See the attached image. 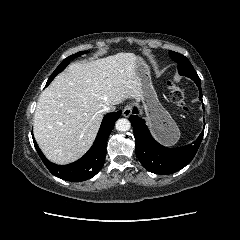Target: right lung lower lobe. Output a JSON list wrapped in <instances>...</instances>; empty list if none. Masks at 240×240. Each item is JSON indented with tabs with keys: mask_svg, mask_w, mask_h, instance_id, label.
<instances>
[{
	"mask_svg": "<svg viewBox=\"0 0 240 240\" xmlns=\"http://www.w3.org/2000/svg\"><path fill=\"white\" fill-rule=\"evenodd\" d=\"M121 113L122 111L108 113L104 117L92 147L81 159L74 163L68 165H56L48 161L39 149L36 141L33 140L37 153L49 171L59 178L71 182H81L90 179L94 177L104 165L106 142Z\"/></svg>",
	"mask_w": 240,
	"mask_h": 240,
	"instance_id": "right-lung-lower-lobe-1",
	"label": "right lung lower lobe"
}]
</instances>
